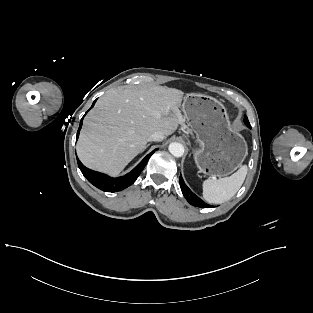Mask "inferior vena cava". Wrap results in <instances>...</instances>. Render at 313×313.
I'll return each instance as SVG.
<instances>
[{
    "label": "inferior vena cava",
    "instance_id": "1",
    "mask_svg": "<svg viewBox=\"0 0 313 313\" xmlns=\"http://www.w3.org/2000/svg\"><path fill=\"white\" fill-rule=\"evenodd\" d=\"M164 138L163 132L155 131L149 136L148 141H162Z\"/></svg>",
    "mask_w": 313,
    "mask_h": 313
}]
</instances>
